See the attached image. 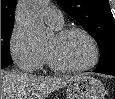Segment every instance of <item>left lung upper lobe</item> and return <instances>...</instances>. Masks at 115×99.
Returning a JSON list of instances; mask_svg holds the SVG:
<instances>
[{
  "mask_svg": "<svg viewBox=\"0 0 115 99\" xmlns=\"http://www.w3.org/2000/svg\"><path fill=\"white\" fill-rule=\"evenodd\" d=\"M60 6L96 40L98 72L115 70V23L108 0H57Z\"/></svg>",
  "mask_w": 115,
  "mask_h": 99,
  "instance_id": "obj_1",
  "label": "left lung upper lobe"
}]
</instances>
